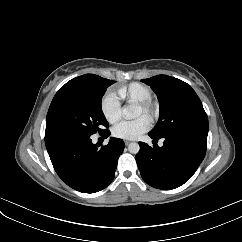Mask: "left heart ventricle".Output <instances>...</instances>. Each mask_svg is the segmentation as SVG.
<instances>
[{"label": "left heart ventricle", "instance_id": "left-heart-ventricle-1", "mask_svg": "<svg viewBox=\"0 0 242 242\" xmlns=\"http://www.w3.org/2000/svg\"><path fill=\"white\" fill-rule=\"evenodd\" d=\"M141 115H143V112H142V110L139 107H137V109H136V116L138 117V116H141Z\"/></svg>", "mask_w": 242, "mask_h": 242}]
</instances>
